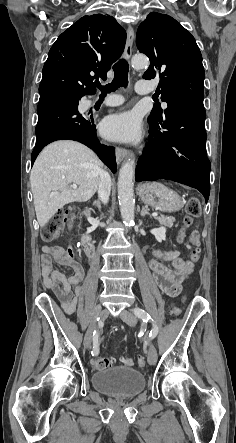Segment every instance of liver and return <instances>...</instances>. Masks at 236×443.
<instances>
[{
  "mask_svg": "<svg viewBox=\"0 0 236 443\" xmlns=\"http://www.w3.org/2000/svg\"><path fill=\"white\" fill-rule=\"evenodd\" d=\"M102 167L97 155L79 142L61 140L46 146L30 175L40 227L66 204L91 199L97 191ZM70 184L78 188L73 189Z\"/></svg>",
  "mask_w": 236,
  "mask_h": 443,
  "instance_id": "6515ba94",
  "label": "liver"
}]
</instances>
